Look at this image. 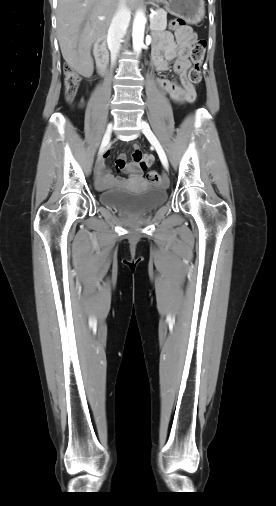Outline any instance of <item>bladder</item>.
Returning <instances> with one entry per match:
<instances>
[{"label":"bladder","mask_w":276,"mask_h":506,"mask_svg":"<svg viewBox=\"0 0 276 506\" xmlns=\"http://www.w3.org/2000/svg\"><path fill=\"white\" fill-rule=\"evenodd\" d=\"M167 199L165 190L148 187L142 191L114 190L100 194L101 202L115 209H128L145 214L163 204Z\"/></svg>","instance_id":"obj_1"}]
</instances>
